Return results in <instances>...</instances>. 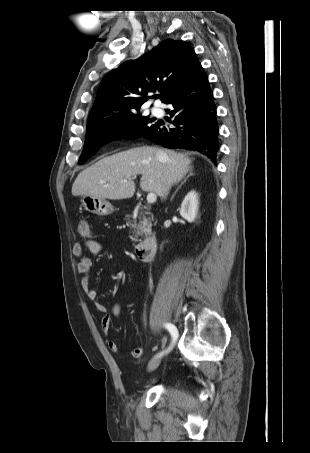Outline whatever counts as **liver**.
<instances>
[{
  "mask_svg": "<svg viewBox=\"0 0 310 453\" xmlns=\"http://www.w3.org/2000/svg\"><path fill=\"white\" fill-rule=\"evenodd\" d=\"M162 152V158L157 152ZM192 160L182 153L143 146L107 156L81 171L72 186L73 196L89 195L121 200L135 193L134 178L142 175L140 188L162 197L166 184H177ZM127 179V182H124Z\"/></svg>",
  "mask_w": 310,
  "mask_h": 453,
  "instance_id": "liver-1",
  "label": "liver"
}]
</instances>
